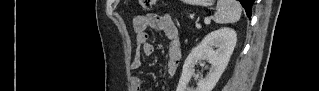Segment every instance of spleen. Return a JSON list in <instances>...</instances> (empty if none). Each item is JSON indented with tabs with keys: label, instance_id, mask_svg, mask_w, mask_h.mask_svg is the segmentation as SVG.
<instances>
[{
	"label": "spleen",
	"instance_id": "spleen-1",
	"mask_svg": "<svg viewBox=\"0 0 319 91\" xmlns=\"http://www.w3.org/2000/svg\"><path fill=\"white\" fill-rule=\"evenodd\" d=\"M242 7L236 0H218L214 21L218 24L235 23L241 17Z\"/></svg>",
	"mask_w": 319,
	"mask_h": 91
}]
</instances>
